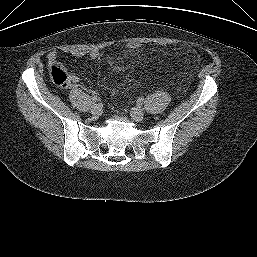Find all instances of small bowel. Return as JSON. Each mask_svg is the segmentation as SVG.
<instances>
[{"label": "small bowel", "mask_w": 257, "mask_h": 257, "mask_svg": "<svg viewBox=\"0 0 257 257\" xmlns=\"http://www.w3.org/2000/svg\"><path fill=\"white\" fill-rule=\"evenodd\" d=\"M72 56L75 57H87L90 59H96L99 57V52L96 50H89V51H77V50H73V51H68ZM59 55V50L55 49L49 52L48 54V64L49 66H54L58 64L57 58ZM109 65L116 71V72H123L125 70H127L128 68L131 67L130 64L128 63H124V62H115L110 60L109 61ZM69 84L70 85H75L76 83H78L79 78L74 75V74H70L69 75Z\"/></svg>", "instance_id": "obj_1"}]
</instances>
